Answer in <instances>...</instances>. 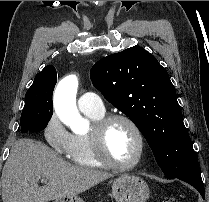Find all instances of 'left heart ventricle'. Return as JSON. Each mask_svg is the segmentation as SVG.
I'll list each match as a JSON object with an SVG mask.
<instances>
[{
	"label": "left heart ventricle",
	"mask_w": 209,
	"mask_h": 202,
	"mask_svg": "<svg viewBox=\"0 0 209 202\" xmlns=\"http://www.w3.org/2000/svg\"><path fill=\"white\" fill-rule=\"evenodd\" d=\"M138 138L125 122L113 123L105 136V148L110 158L121 164H130L138 154Z\"/></svg>",
	"instance_id": "left-heart-ventricle-1"
}]
</instances>
